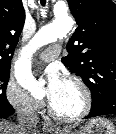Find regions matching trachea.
Here are the masks:
<instances>
[{
  "instance_id": "1",
  "label": "trachea",
  "mask_w": 116,
  "mask_h": 134,
  "mask_svg": "<svg viewBox=\"0 0 116 134\" xmlns=\"http://www.w3.org/2000/svg\"><path fill=\"white\" fill-rule=\"evenodd\" d=\"M40 2L42 6H45L46 0H40Z\"/></svg>"
}]
</instances>
